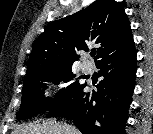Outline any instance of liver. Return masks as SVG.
<instances>
[{
  "label": "liver",
  "instance_id": "obj_1",
  "mask_svg": "<svg viewBox=\"0 0 153 134\" xmlns=\"http://www.w3.org/2000/svg\"><path fill=\"white\" fill-rule=\"evenodd\" d=\"M13 134H80L79 131L66 123L56 122L55 120L36 122L16 129Z\"/></svg>",
  "mask_w": 153,
  "mask_h": 134
}]
</instances>
